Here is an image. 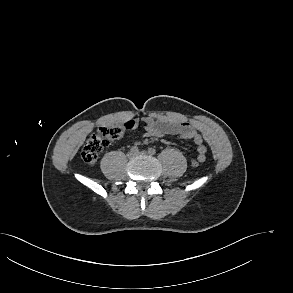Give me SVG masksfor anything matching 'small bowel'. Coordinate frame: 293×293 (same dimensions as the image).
<instances>
[{"label":"small bowel","mask_w":293,"mask_h":293,"mask_svg":"<svg viewBox=\"0 0 293 293\" xmlns=\"http://www.w3.org/2000/svg\"><path fill=\"white\" fill-rule=\"evenodd\" d=\"M141 125L144 128L145 136L147 137L172 135L185 139H192L198 146V155L206 153L202 135L188 122H175L166 118H154L148 116L141 119Z\"/></svg>","instance_id":"obj_1"}]
</instances>
